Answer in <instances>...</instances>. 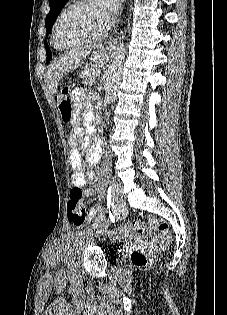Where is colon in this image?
<instances>
[{
  "mask_svg": "<svg viewBox=\"0 0 227 315\" xmlns=\"http://www.w3.org/2000/svg\"><path fill=\"white\" fill-rule=\"evenodd\" d=\"M58 106L65 122H70L73 117V104L69 97V88L64 86L57 95ZM83 193L81 188L76 187L70 191L69 200L67 203L69 220L79 226L87 219L86 209L82 200ZM150 229L158 236L160 241L168 244L170 241L169 227L166 221L151 217L148 220ZM144 222L135 220L127 223L121 231L123 236L141 237L146 233ZM117 232H111V236L117 235ZM131 259L136 266H146L152 260V254L145 250H135L131 255Z\"/></svg>",
  "mask_w": 227,
  "mask_h": 315,
  "instance_id": "obj_1",
  "label": "colon"
}]
</instances>
